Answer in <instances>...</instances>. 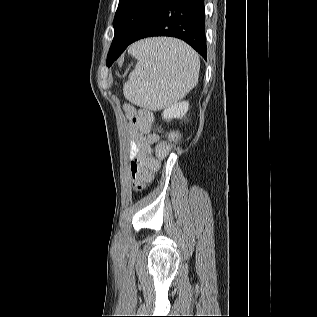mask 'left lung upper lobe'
I'll return each mask as SVG.
<instances>
[{
	"instance_id": "5c2ea615",
	"label": "left lung upper lobe",
	"mask_w": 317,
	"mask_h": 317,
	"mask_svg": "<svg viewBox=\"0 0 317 317\" xmlns=\"http://www.w3.org/2000/svg\"><path fill=\"white\" fill-rule=\"evenodd\" d=\"M164 0H120L114 18L115 36L112 43H126L139 31L145 21ZM108 54L107 65L111 66Z\"/></svg>"
}]
</instances>
